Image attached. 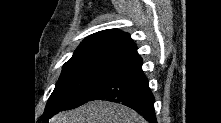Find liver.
<instances>
[{
  "label": "liver",
  "mask_w": 221,
  "mask_h": 123,
  "mask_svg": "<svg viewBox=\"0 0 221 123\" xmlns=\"http://www.w3.org/2000/svg\"><path fill=\"white\" fill-rule=\"evenodd\" d=\"M49 123H146L132 109L107 101L89 102L75 110L61 112Z\"/></svg>",
  "instance_id": "6515ba94"
}]
</instances>
